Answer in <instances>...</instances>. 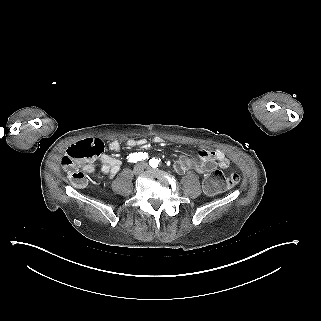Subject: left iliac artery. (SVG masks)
<instances>
[{
	"instance_id": "44dca946",
	"label": "left iliac artery",
	"mask_w": 321,
	"mask_h": 321,
	"mask_svg": "<svg viewBox=\"0 0 321 321\" xmlns=\"http://www.w3.org/2000/svg\"><path fill=\"white\" fill-rule=\"evenodd\" d=\"M161 160L159 159H150V161H149V165L151 166V167H157L158 165H159V162H160Z\"/></svg>"
}]
</instances>
